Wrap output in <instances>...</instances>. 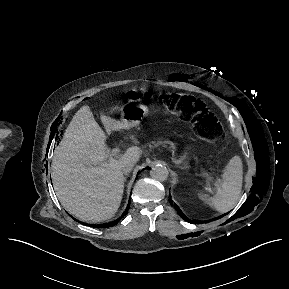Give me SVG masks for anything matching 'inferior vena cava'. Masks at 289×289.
<instances>
[{"label": "inferior vena cava", "instance_id": "1", "mask_svg": "<svg viewBox=\"0 0 289 289\" xmlns=\"http://www.w3.org/2000/svg\"><path fill=\"white\" fill-rule=\"evenodd\" d=\"M135 161H125L120 165V170L123 174H128L134 167Z\"/></svg>", "mask_w": 289, "mask_h": 289}]
</instances>
